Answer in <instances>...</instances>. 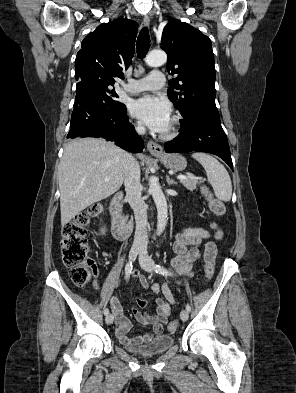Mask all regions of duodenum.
<instances>
[{"mask_svg":"<svg viewBox=\"0 0 296 393\" xmlns=\"http://www.w3.org/2000/svg\"><path fill=\"white\" fill-rule=\"evenodd\" d=\"M123 193L114 195L110 204L112 233L117 241H124L130 235V226L122 213Z\"/></svg>","mask_w":296,"mask_h":393,"instance_id":"duodenum-1","label":"duodenum"}]
</instances>
